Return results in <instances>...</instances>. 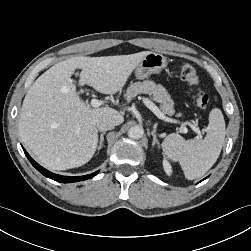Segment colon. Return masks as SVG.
I'll list each match as a JSON object with an SVG mask.
<instances>
[{
  "instance_id": "colon-1",
  "label": "colon",
  "mask_w": 251,
  "mask_h": 251,
  "mask_svg": "<svg viewBox=\"0 0 251 251\" xmlns=\"http://www.w3.org/2000/svg\"><path fill=\"white\" fill-rule=\"evenodd\" d=\"M180 76L190 87L196 105L201 109H206L210 102V97L199 86V78L195 68L188 63H184L180 69Z\"/></svg>"
}]
</instances>
